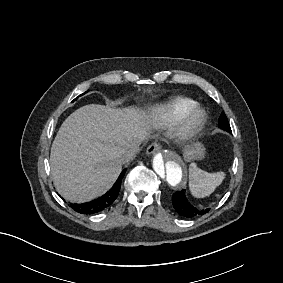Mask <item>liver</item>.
Wrapping results in <instances>:
<instances>
[{
  "label": "liver",
  "instance_id": "liver-1",
  "mask_svg": "<svg viewBox=\"0 0 283 283\" xmlns=\"http://www.w3.org/2000/svg\"><path fill=\"white\" fill-rule=\"evenodd\" d=\"M146 117L135 109L84 106L62 124L50 155L57 191L72 202H86L105 193L122 170L123 150L142 143Z\"/></svg>",
  "mask_w": 283,
  "mask_h": 283
}]
</instances>
